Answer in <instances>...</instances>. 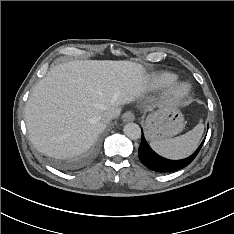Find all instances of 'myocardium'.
<instances>
[{
  "instance_id": "f54148a6",
  "label": "myocardium",
  "mask_w": 234,
  "mask_h": 234,
  "mask_svg": "<svg viewBox=\"0 0 234 234\" xmlns=\"http://www.w3.org/2000/svg\"><path fill=\"white\" fill-rule=\"evenodd\" d=\"M189 86L183 82H175L170 87V94L175 98L185 97L189 93Z\"/></svg>"
}]
</instances>
